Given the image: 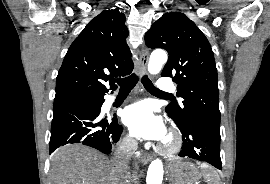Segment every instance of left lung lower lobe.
Masks as SVG:
<instances>
[{"label": "left lung lower lobe", "mask_w": 270, "mask_h": 184, "mask_svg": "<svg viewBox=\"0 0 270 184\" xmlns=\"http://www.w3.org/2000/svg\"><path fill=\"white\" fill-rule=\"evenodd\" d=\"M177 126L183 135V146L179 156L207 162L217 169L222 170L220 158V125L194 119L184 126Z\"/></svg>", "instance_id": "obj_1"}]
</instances>
